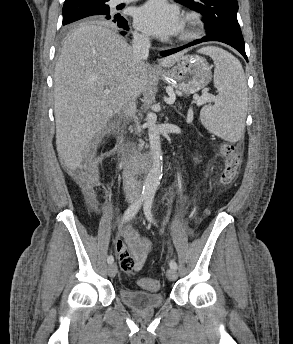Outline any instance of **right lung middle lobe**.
<instances>
[{"label": "right lung middle lobe", "instance_id": "obj_1", "mask_svg": "<svg viewBox=\"0 0 293 344\" xmlns=\"http://www.w3.org/2000/svg\"><path fill=\"white\" fill-rule=\"evenodd\" d=\"M109 0H82L63 6V25L92 21L94 16L110 12Z\"/></svg>", "mask_w": 293, "mask_h": 344}]
</instances>
